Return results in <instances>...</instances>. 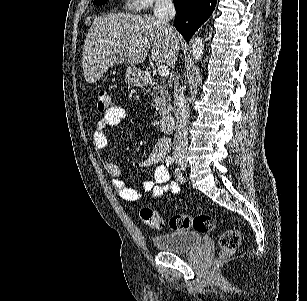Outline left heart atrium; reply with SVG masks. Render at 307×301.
I'll use <instances>...</instances> for the list:
<instances>
[{"instance_id":"left-heart-atrium-1","label":"left heart atrium","mask_w":307,"mask_h":301,"mask_svg":"<svg viewBox=\"0 0 307 301\" xmlns=\"http://www.w3.org/2000/svg\"><path fill=\"white\" fill-rule=\"evenodd\" d=\"M155 62H172V61H155Z\"/></svg>"}]
</instances>
